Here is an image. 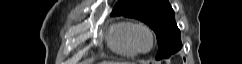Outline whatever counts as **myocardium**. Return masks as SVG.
<instances>
[{
    "mask_svg": "<svg viewBox=\"0 0 242 64\" xmlns=\"http://www.w3.org/2000/svg\"><path fill=\"white\" fill-rule=\"evenodd\" d=\"M138 30H144L145 32L148 33L149 37H150V47L147 49V50H142L138 47V45L136 44V41H135V33L138 31ZM128 38H129V42L131 44V46L133 47V49L139 53V54H146V53H149L154 45H155V34H154V31L152 30V28L147 25L146 23L144 22H136V23H133L130 27V30H129V33H128Z\"/></svg>",
    "mask_w": 242,
    "mask_h": 64,
    "instance_id": "obj_1",
    "label": "myocardium"
}]
</instances>
